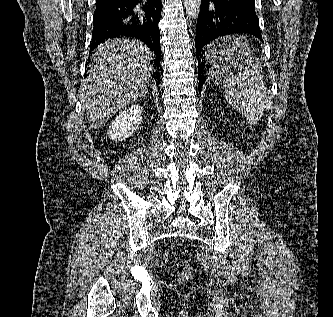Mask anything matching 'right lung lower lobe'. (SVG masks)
Returning a JSON list of instances; mask_svg holds the SVG:
<instances>
[{
  "label": "right lung lower lobe",
  "instance_id": "right-lung-lower-lobe-1",
  "mask_svg": "<svg viewBox=\"0 0 333 317\" xmlns=\"http://www.w3.org/2000/svg\"><path fill=\"white\" fill-rule=\"evenodd\" d=\"M161 0H113L96 3L93 15L90 51L103 41L114 37H134L146 43L157 56L158 69L161 57L160 31ZM159 83V74L154 73Z\"/></svg>",
  "mask_w": 333,
  "mask_h": 317
}]
</instances>
